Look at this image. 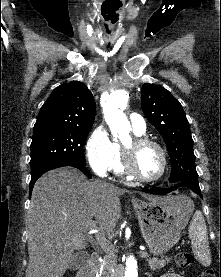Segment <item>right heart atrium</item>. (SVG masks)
<instances>
[{
	"mask_svg": "<svg viewBox=\"0 0 221 277\" xmlns=\"http://www.w3.org/2000/svg\"><path fill=\"white\" fill-rule=\"evenodd\" d=\"M85 153L92 171L98 176H105L111 168L114 158V142L104 126H97L90 134Z\"/></svg>",
	"mask_w": 221,
	"mask_h": 277,
	"instance_id": "1",
	"label": "right heart atrium"
}]
</instances>
